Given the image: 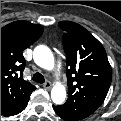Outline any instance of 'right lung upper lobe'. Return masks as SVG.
<instances>
[{"label":"right lung upper lobe","mask_w":121,"mask_h":121,"mask_svg":"<svg viewBox=\"0 0 121 121\" xmlns=\"http://www.w3.org/2000/svg\"><path fill=\"white\" fill-rule=\"evenodd\" d=\"M43 33L40 25L19 20L1 28V115L13 110L36 89L25 81L23 51Z\"/></svg>","instance_id":"cb5924a9"}]
</instances>
